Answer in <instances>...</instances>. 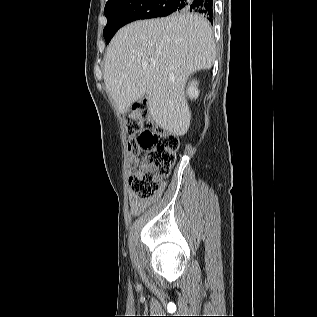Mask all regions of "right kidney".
Wrapping results in <instances>:
<instances>
[{"mask_svg":"<svg viewBox=\"0 0 317 317\" xmlns=\"http://www.w3.org/2000/svg\"><path fill=\"white\" fill-rule=\"evenodd\" d=\"M198 82L192 81L188 87L187 94L191 99L197 98L199 95V91L197 89Z\"/></svg>","mask_w":317,"mask_h":317,"instance_id":"ca27d5eb","label":"right kidney"}]
</instances>
